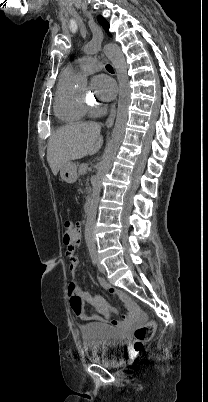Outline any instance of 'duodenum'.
Instances as JSON below:
<instances>
[{"mask_svg": "<svg viewBox=\"0 0 208 402\" xmlns=\"http://www.w3.org/2000/svg\"><path fill=\"white\" fill-rule=\"evenodd\" d=\"M91 205H92L91 199H87L85 202V205H84V209H85L86 213H88L90 211Z\"/></svg>", "mask_w": 208, "mask_h": 402, "instance_id": "410a0bca", "label": "duodenum"}]
</instances>
